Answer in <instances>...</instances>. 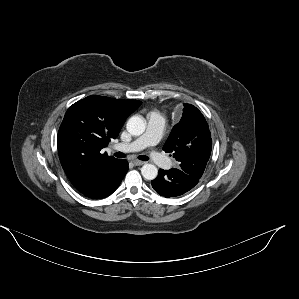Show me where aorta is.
Returning a JSON list of instances; mask_svg holds the SVG:
<instances>
[{
  "label": "aorta",
  "instance_id": "aorta-1",
  "mask_svg": "<svg viewBox=\"0 0 299 299\" xmlns=\"http://www.w3.org/2000/svg\"><path fill=\"white\" fill-rule=\"evenodd\" d=\"M127 131L133 136H140L146 128V121L140 116H132L126 125ZM141 174L146 180H153L157 177L158 169L153 164H145L141 168Z\"/></svg>",
  "mask_w": 299,
  "mask_h": 299
}]
</instances>
